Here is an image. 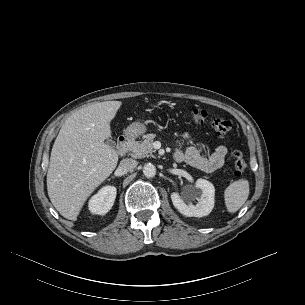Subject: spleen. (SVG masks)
<instances>
[{
  "label": "spleen",
  "mask_w": 305,
  "mask_h": 305,
  "mask_svg": "<svg viewBox=\"0 0 305 305\" xmlns=\"http://www.w3.org/2000/svg\"><path fill=\"white\" fill-rule=\"evenodd\" d=\"M249 196V182L239 179L232 182L224 192V200L229 213L237 212L246 202Z\"/></svg>",
  "instance_id": "1"
}]
</instances>
